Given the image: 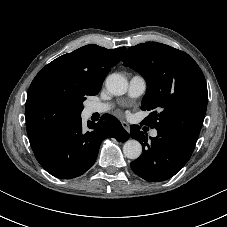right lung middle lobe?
<instances>
[{
  "instance_id": "right-lung-middle-lobe-1",
  "label": "right lung middle lobe",
  "mask_w": 227,
  "mask_h": 227,
  "mask_svg": "<svg viewBox=\"0 0 227 227\" xmlns=\"http://www.w3.org/2000/svg\"><path fill=\"white\" fill-rule=\"evenodd\" d=\"M83 110V105H81V109H80V111H82Z\"/></svg>"
}]
</instances>
